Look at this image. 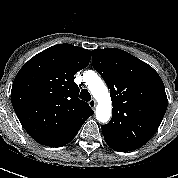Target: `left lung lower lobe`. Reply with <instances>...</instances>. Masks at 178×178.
Returning a JSON list of instances; mask_svg holds the SVG:
<instances>
[{
    "mask_svg": "<svg viewBox=\"0 0 178 178\" xmlns=\"http://www.w3.org/2000/svg\"><path fill=\"white\" fill-rule=\"evenodd\" d=\"M111 147V146H110ZM111 148H113L114 150H116V151H120V152H123L124 150H121V149H117V148H114V147H111Z\"/></svg>",
    "mask_w": 178,
    "mask_h": 178,
    "instance_id": "left-lung-lower-lobe-1",
    "label": "left lung lower lobe"
}]
</instances>
